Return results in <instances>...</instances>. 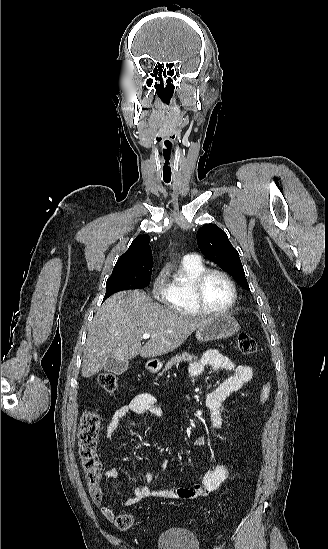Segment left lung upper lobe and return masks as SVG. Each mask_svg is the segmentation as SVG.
I'll use <instances>...</instances> for the list:
<instances>
[{
	"label": "left lung upper lobe",
	"instance_id": "obj_1",
	"mask_svg": "<svg viewBox=\"0 0 328 549\" xmlns=\"http://www.w3.org/2000/svg\"><path fill=\"white\" fill-rule=\"evenodd\" d=\"M197 242L204 256L229 273L244 289L249 290L239 254L222 229L215 224L204 225L198 230Z\"/></svg>",
	"mask_w": 328,
	"mask_h": 549
}]
</instances>
